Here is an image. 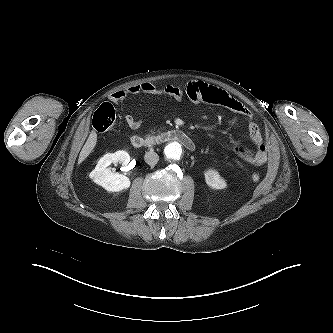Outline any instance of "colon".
<instances>
[{"label": "colon", "mask_w": 333, "mask_h": 333, "mask_svg": "<svg viewBox=\"0 0 333 333\" xmlns=\"http://www.w3.org/2000/svg\"><path fill=\"white\" fill-rule=\"evenodd\" d=\"M93 127L98 132H107L111 130L116 123V113L112 104L103 103L95 111L93 116ZM253 182H258L260 180V175L254 173L251 176Z\"/></svg>", "instance_id": "1"}]
</instances>
